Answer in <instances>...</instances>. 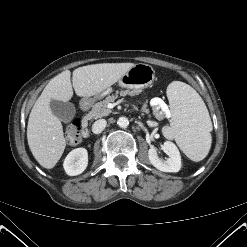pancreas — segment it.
Returning <instances> with one entry per match:
<instances>
[{
  "label": "pancreas",
  "instance_id": "1",
  "mask_svg": "<svg viewBox=\"0 0 247 247\" xmlns=\"http://www.w3.org/2000/svg\"><path fill=\"white\" fill-rule=\"evenodd\" d=\"M134 95L135 93L133 91H120L121 96L125 95ZM117 98V94L106 97L103 101H100L96 103L92 110L86 115L87 119H98L105 116H108L112 111L107 108V104L110 102H114ZM154 111H157V107H154ZM142 112H148V109L146 108V104L142 107Z\"/></svg>",
  "mask_w": 247,
  "mask_h": 247
}]
</instances>
